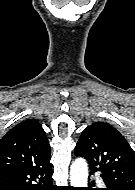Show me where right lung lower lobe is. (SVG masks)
<instances>
[{
  "mask_svg": "<svg viewBox=\"0 0 135 190\" xmlns=\"http://www.w3.org/2000/svg\"><path fill=\"white\" fill-rule=\"evenodd\" d=\"M0 190H57L52 184V166L1 170Z\"/></svg>",
  "mask_w": 135,
  "mask_h": 190,
  "instance_id": "obj_1",
  "label": "right lung lower lobe"
}]
</instances>
